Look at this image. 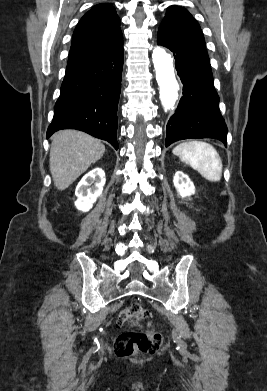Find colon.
Returning a JSON list of instances; mask_svg holds the SVG:
<instances>
[{"mask_svg": "<svg viewBox=\"0 0 267 391\" xmlns=\"http://www.w3.org/2000/svg\"><path fill=\"white\" fill-rule=\"evenodd\" d=\"M152 312L140 304H130L123 308L118 316L122 325L139 326ZM162 345V336L152 326L145 330L131 329L118 335L114 342V352L118 357H131L141 354H153Z\"/></svg>", "mask_w": 267, "mask_h": 391, "instance_id": "colon-1", "label": "colon"}]
</instances>
